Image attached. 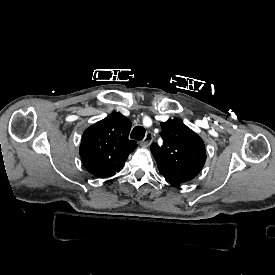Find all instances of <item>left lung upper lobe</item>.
Returning <instances> with one entry per match:
<instances>
[{
    "mask_svg": "<svg viewBox=\"0 0 275 275\" xmlns=\"http://www.w3.org/2000/svg\"><path fill=\"white\" fill-rule=\"evenodd\" d=\"M161 126L163 145L150 147L160 174L176 184L194 179L206 161L203 140L180 120L168 119Z\"/></svg>",
    "mask_w": 275,
    "mask_h": 275,
    "instance_id": "1",
    "label": "left lung upper lobe"
}]
</instances>
